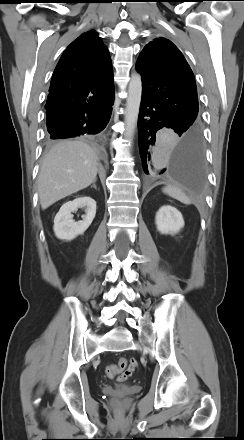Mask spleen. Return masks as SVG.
<instances>
[{
  "label": "spleen",
  "instance_id": "spleen-1",
  "mask_svg": "<svg viewBox=\"0 0 244 440\" xmlns=\"http://www.w3.org/2000/svg\"><path fill=\"white\" fill-rule=\"evenodd\" d=\"M163 192L181 203L187 205L192 203L191 199L177 186L168 185L163 188Z\"/></svg>",
  "mask_w": 244,
  "mask_h": 440
}]
</instances>
